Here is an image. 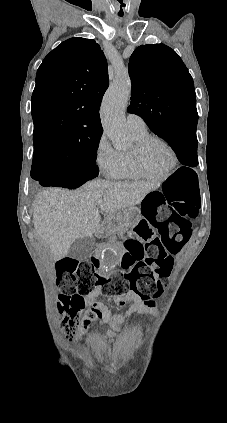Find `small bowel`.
<instances>
[{
	"instance_id": "c3829d8e",
	"label": "small bowel",
	"mask_w": 227,
	"mask_h": 423,
	"mask_svg": "<svg viewBox=\"0 0 227 423\" xmlns=\"http://www.w3.org/2000/svg\"><path fill=\"white\" fill-rule=\"evenodd\" d=\"M139 222H146L145 218L139 220ZM100 287H96L86 298V303L90 305L91 309L84 318V325H89L93 320L98 319L102 324H109L112 328L108 332V337L113 338L116 336V332L120 331L123 327L126 319L133 314L145 307H154V301H143L139 296L134 293H129L123 297H113V302L117 306H125L130 304L129 309L123 314L112 315L107 306L101 301L102 295Z\"/></svg>"
}]
</instances>
